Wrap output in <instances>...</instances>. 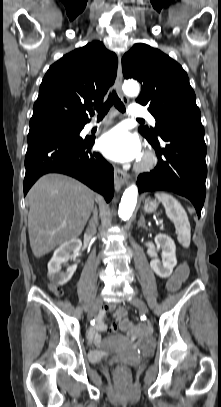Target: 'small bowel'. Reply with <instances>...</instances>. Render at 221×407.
<instances>
[{"instance_id":"obj_1","label":"small bowel","mask_w":221,"mask_h":407,"mask_svg":"<svg viewBox=\"0 0 221 407\" xmlns=\"http://www.w3.org/2000/svg\"><path fill=\"white\" fill-rule=\"evenodd\" d=\"M115 307L113 305H109L105 308H103L97 318L94 327L90 330L89 332V339L94 342L95 344H100L101 343V335L100 332H105V333H115L118 330V324L111 323L107 324L105 322V318L109 311L113 310ZM117 316V313L115 311V317ZM122 331H129V330H122Z\"/></svg>"}]
</instances>
